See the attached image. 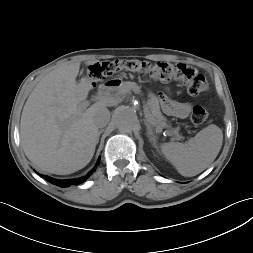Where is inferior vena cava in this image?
Returning <instances> with one entry per match:
<instances>
[{
	"label": "inferior vena cava",
	"instance_id": "1",
	"mask_svg": "<svg viewBox=\"0 0 253 253\" xmlns=\"http://www.w3.org/2000/svg\"><path fill=\"white\" fill-rule=\"evenodd\" d=\"M94 121L96 123V125L99 127V128H103L105 127L109 121H110V112L107 108H104L102 110H100L95 118H94Z\"/></svg>",
	"mask_w": 253,
	"mask_h": 253
}]
</instances>
